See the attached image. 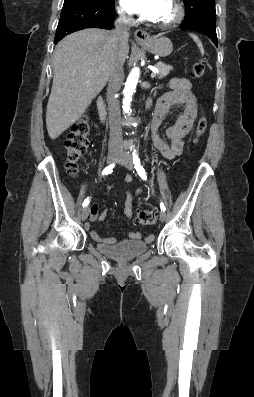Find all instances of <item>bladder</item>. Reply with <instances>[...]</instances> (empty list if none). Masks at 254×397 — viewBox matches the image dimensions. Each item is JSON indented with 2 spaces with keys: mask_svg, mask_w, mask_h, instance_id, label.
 <instances>
[{
  "mask_svg": "<svg viewBox=\"0 0 254 397\" xmlns=\"http://www.w3.org/2000/svg\"><path fill=\"white\" fill-rule=\"evenodd\" d=\"M148 248L142 240L122 241L113 245L98 244L97 249L104 255L116 259L127 260L143 254Z\"/></svg>",
  "mask_w": 254,
  "mask_h": 397,
  "instance_id": "obj_1",
  "label": "bladder"
}]
</instances>
